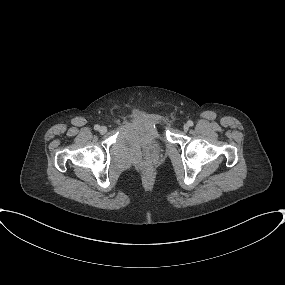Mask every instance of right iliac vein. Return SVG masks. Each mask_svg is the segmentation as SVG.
Masks as SVG:
<instances>
[{"instance_id": "63e3f726", "label": "right iliac vein", "mask_w": 285, "mask_h": 285, "mask_svg": "<svg viewBox=\"0 0 285 285\" xmlns=\"http://www.w3.org/2000/svg\"><path fill=\"white\" fill-rule=\"evenodd\" d=\"M99 132H100L101 134H105V133L107 132V127H106V126H101V127L99 128Z\"/></svg>"}]
</instances>
